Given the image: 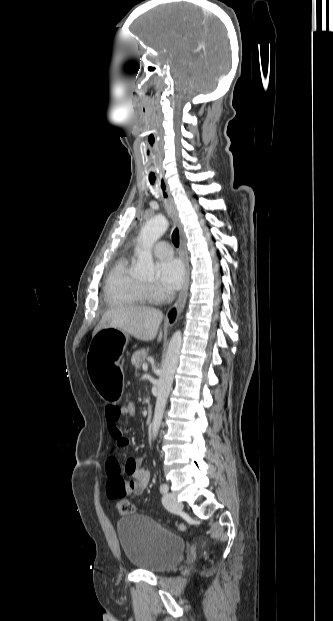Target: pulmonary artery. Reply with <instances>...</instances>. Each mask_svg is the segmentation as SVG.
<instances>
[{"label": "pulmonary artery", "instance_id": "obj_1", "mask_svg": "<svg viewBox=\"0 0 333 621\" xmlns=\"http://www.w3.org/2000/svg\"><path fill=\"white\" fill-rule=\"evenodd\" d=\"M154 254L159 258L169 259L172 257L173 251L168 242L160 241L154 247Z\"/></svg>", "mask_w": 333, "mask_h": 621}]
</instances>
